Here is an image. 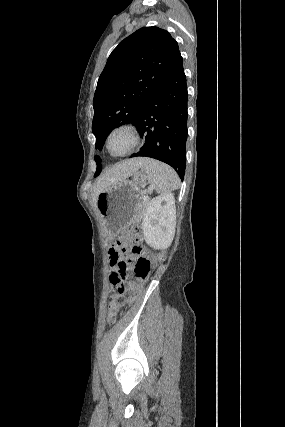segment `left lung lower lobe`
I'll use <instances>...</instances> for the list:
<instances>
[{"label":"left lung lower lobe","mask_w":285,"mask_h":427,"mask_svg":"<svg viewBox=\"0 0 285 427\" xmlns=\"http://www.w3.org/2000/svg\"><path fill=\"white\" fill-rule=\"evenodd\" d=\"M187 85L181 55L140 111L134 125L145 143L131 157H151L172 166L183 181L186 167Z\"/></svg>","instance_id":"left-lung-lower-lobe-1"}]
</instances>
